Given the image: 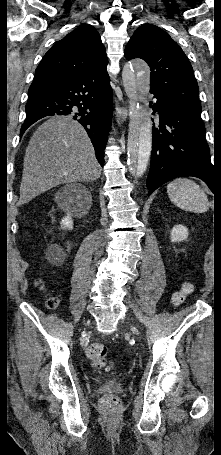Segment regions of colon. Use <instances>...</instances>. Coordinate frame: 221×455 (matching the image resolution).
<instances>
[{
    "mask_svg": "<svg viewBox=\"0 0 221 455\" xmlns=\"http://www.w3.org/2000/svg\"><path fill=\"white\" fill-rule=\"evenodd\" d=\"M192 290V286L189 283L184 284V286L172 296V303L174 305L181 304L189 295ZM58 300L55 297H50L47 300V306L51 309L56 308ZM87 357L91 361V364L96 368L109 367V362L107 360V349L101 343H93L88 346L86 350ZM102 404L108 410H118L120 407V401L116 396L108 395L104 397Z\"/></svg>",
    "mask_w": 221,
    "mask_h": 455,
    "instance_id": "colon-1",
    "label": "colon"
}]
</instances>
